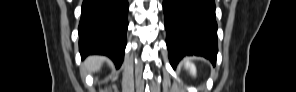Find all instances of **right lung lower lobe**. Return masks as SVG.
I'll use <instances>...</instances> for the list:
<instances>
[{"label": "right lung lower lobe", "mask_w": 296, "mask_h": 92, "mask_svg": "<svg viewBox=\"0 0 296 92\" xmlns=\"http://www.w3.org/2000/svg\"><path fill=\"white\" fill-rule=\"evenodd\" d=\"M127 12V0H84L78 27L81 57L106 55L119 67L126 46Z\"/></svg>", "instance_id": "98d812e1"}]
</instances>
